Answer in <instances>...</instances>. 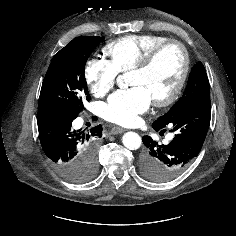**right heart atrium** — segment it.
I'll return each instance as SVG.
<instances>
[{
  "label": "right heart atrium",
  "mask_w": 236,
  "mask_h": 236,
  "mask_svg": "<svg viewBox=\"0 0 236 236\" xmlns=\"http://www.w3.org/2000/svg\"><path fill=\"white\" fill-rule=\"evenodd\" d=\"M117 75L114 65L101 57L88 59L84 66L85 82L97 97H103L113 89Z\"/></svg>",
  "instance_id": "d8ad5b80"
}]
</instances>
